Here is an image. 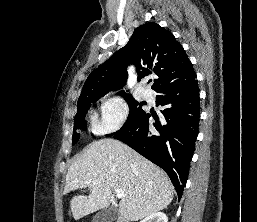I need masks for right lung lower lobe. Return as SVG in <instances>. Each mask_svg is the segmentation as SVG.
<instances>
[{
	"mask_svg": "<svg viewBox=\"0 0 257 222\" xmlns=\"http://www.w3.org/2000/svg\"><path fill=\"white\" fill-rule=\"evenodd\" d=\"M156 104L164 107L162 116L149 125L144 112L130 127L113 138L161 167L169 175L180 199L186 184L190 161L198 135L200 117L199 88L194 75L182 83L158 89Z\"/></svg>",
	"mask_w": 257,
	"mask_h": 222,
	"instance_id": "obj_1",
	"label": "right lung lower lobe"
}]
</instances>
